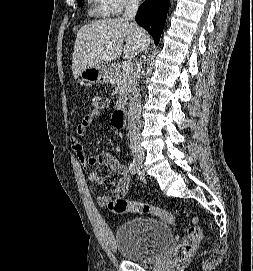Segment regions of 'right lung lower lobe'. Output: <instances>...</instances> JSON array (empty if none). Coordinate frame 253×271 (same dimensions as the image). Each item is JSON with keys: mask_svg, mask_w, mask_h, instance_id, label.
Returning <instances> with one entry per match:
<instances>
[{"mask_svg": "<svg viewBox=\"0 0 253 271\" xmlns=\"http://www.w3.org/2000/svg\"><path fill=\"white\" fill-rule=\"evenodd\" d=\"M170 0H145L135 16L136 22L145 28L157 45L163 31Z\"/></svg>", "mask_w": 253, "mask_h": 271, "instance_id": "1", "label": "right lung lower lobe"}]
</instances>
